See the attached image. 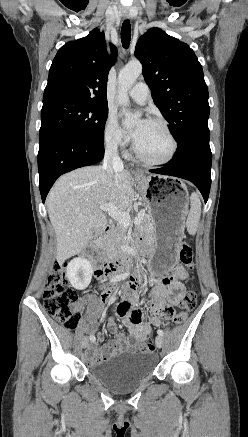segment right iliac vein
Wrapping results in <instances>:
<instances>
[{
  "instance_id": "1",
  "label": "right iliac vein",
  "mask_w": 248,
  "mask_h": 437,
  "mask_svg": "<svg viewBox=\"0 0 248 437\" xmlns=\"http://www.w3.org/2000/svg\"><path fill=\"white\" fill-rule=\"evenodd\" d=\"M88 345H89V339L87 337H84L81 340V346H82V348H86Z\"/></svg>"
}]
</instances>
